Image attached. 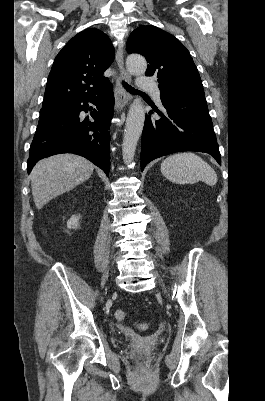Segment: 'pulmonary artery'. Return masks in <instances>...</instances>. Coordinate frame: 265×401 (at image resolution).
Returning a JSON list of instances; mask_svg holds the SVG:
<instances>
[{
  "mask_svg": "<svg viewBox=\"0 0 265 401\" xmlns=\"http://www.w3.org/2000/svg\"><path fill=\"white\" fill-rule=\"evenodd\" d=\"M138 82L140 89L142 90H154L153 91V97L158 102L159 104L161 103L160 99V91L158 88H156V83L155 81H151V77L149 75H140L138 77ZM156 88V89H155Z\"/></svg>",
  "mask_w": 265,
  "mask_h": 401,
  "instance_id": "obj_1",
  "label": "pulmonary artery"
}]
</instances>
